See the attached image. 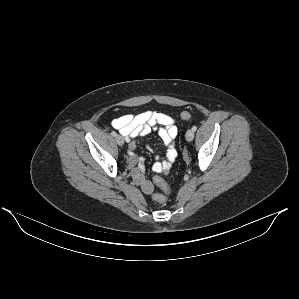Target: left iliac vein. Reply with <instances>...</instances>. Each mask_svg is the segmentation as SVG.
Listing matches in <instances>:
<instances>
[{
    "instance_id": "obj_1",
    "label": "left iliac vein",
    "mask_w": 299,
    "mask_h": 299,
    "mask_svg": "<svg viewBox=\"0 0 299 299\" xmlns=\"http://www.w3.org/2000/svg\"><path fill=\"white\" fill-rule=\"evenodd\" d=\"M185 138L187 141H192L194 138V131L192 129L187 130Z\"/></svg>"
}]
</instances>
